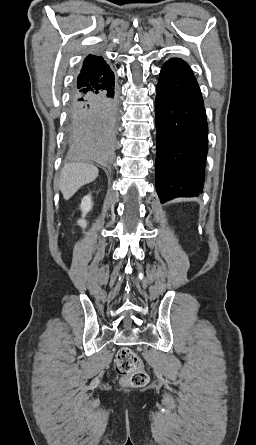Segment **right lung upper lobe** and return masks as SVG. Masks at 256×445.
<instances>
[{
    "label": "right lung upper lobe",
    "mask_w": 256,
    "mask_h": 445,
    "mask_svg": "<svg viewBox=\"0 0 256 445\" xmlns=\"http://www.w3.org/2000/svg\"><path fill=\"white\" fill-rule=\"evenodd\" d=\"M112 75L113 71L101 56L88 55L77 77L74 91L99 86L107 82Z\"/></svg>",
    "instance_id": "obj_1"
}]
</instances>
